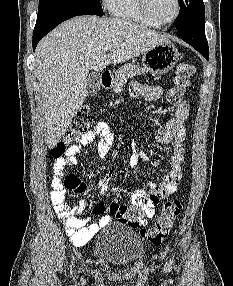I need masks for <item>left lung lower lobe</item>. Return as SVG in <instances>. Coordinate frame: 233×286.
<instances>
[{"label": "left lung lower lobe", "mask_w": 233, "mask_h": 286, "mask_svg": "<svg viewBox=\"0 0 233 286\" xmlns=\"http://www.w3.org/2000/svg\"><path fill=\"white\" fill-rule=\"evenodd\" d=\"M205 16L196 18L192 22L177 29L176 34L185 42L194 47L207 60L209 59V48L204 30Z\"/></svg>", "instance_id": "obj_1"}]
</instances>
